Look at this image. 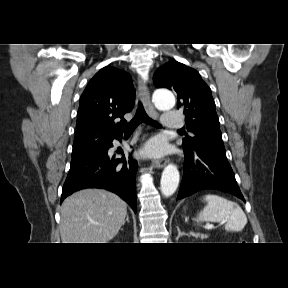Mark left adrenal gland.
<instances>
[{
	"label": "left adrenal gland",
	"mask_w": 288,
	"mask_h": 288,
	"mask_svg": "<svg viewBox=\"0 0 288 288\" xmlns=\"http://www.w3.org/2000/svg\"><path fill=\"white\" fill-rule=\"evenodd\" d=\"M177 231H178V236L177 238H179L180 236H183V235H187L189 236L188 234L184 233V232H181L180 228L177 226Z\"/></svg>",
	"instance_id": "left-adrenal-gland-1"
}]
</instances>
